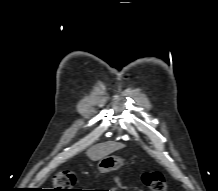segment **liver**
Instances as JSON below:
<instances>
[{"instance_id":"liver-1","label":"liver","mask_w":218,"mask_h":191,"mask_svg":"<svg viewBox=\"0 0 218 191\" xmlns=\"http://www.w3.org/2000/svg\"><path fill=\"white\" fill-rule=\"evenodd\" d=\"M124 147V144L108 141L92 146L86 154L92 161H97Z\"/></svg>"}]
</instances>
